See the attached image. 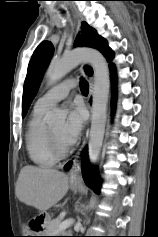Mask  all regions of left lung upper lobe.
<instances>
[{
    "mask_svg": "<svg viewBox=\"0 0 158 237\" xmlns=\"http://www.w3.org/2000/svg\"><path fill=\"white\" fill-rule=\"evenodd\" d=\"M81 35L76 39V46H85L98 49L102 54L110 61L114 54L112 50L108 47L107 42L104 38L100 37L95 29L89 27L86 22L81 23ZM53 55V46L50 42H42L34 51L32 58L29 62L28 72L24 83L23 92V108L22 115H26L29 105L37 92L42 74L46 68L49 60ZM85 70L89 75L92 74V70L86 67Z\"/></svg>",
    "mask_w": 158,
    "mask_h": 237,
    "instance_id": "obj_1",
    "label": "left lung upper lobe"
}]
</instances>
